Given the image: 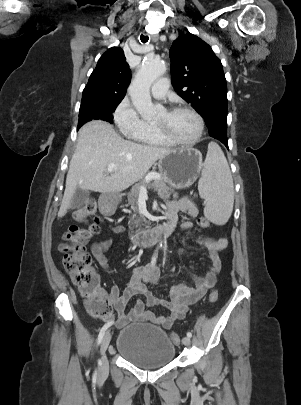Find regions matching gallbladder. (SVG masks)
Here are the masks:
<instances>
[{
  "label": "gallbladder",
  "mask_w": 301,
  "mask_h": 405,
  "mask_svg": "<svg viewBox=\"0 0 301 405\" xmlns=\"http://www.w3.org/2000/svg\"><path fill=\"white\" fill-rule=\"evenodd\" d=\"M89 195V190L77 188L71 199L70 209H76L83 206L88 200Z\"/></svg>",
  "instance_id": "bac80fb5"
}]
</instances>
